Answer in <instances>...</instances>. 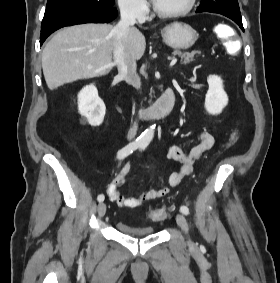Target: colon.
Segmentation results:
<instances>
[{
    "label": "colon",
    "instance_id": "5ec220e1",
    "mask_svg": "<svg viewBox=\"0 0 280 283\" xmlns=\"http://www.w3.org/2000/svg\"><path fill=\"white\" fill-rule=\"evenodd\" d=\"M216 33L217 42H225V47H228V55H241L242 46L239 42H242V37L235 36L234 25H216L214 28ZM238 135V131L229 140L227 146L231 145ZM149 217L152 221H162L167 217V209L159 208L150 212Z\"/></svg>",
    "mask_w": 280,
    "mask_h": 283
}]
</instances>
